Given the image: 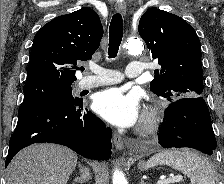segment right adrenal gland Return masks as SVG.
Instances as JSON below:
<instances>
[{"instance_id": "right-adrenal-gland-1", "label": "right adrenal gland", "mask_w": 224, "mask_h": 184, "mask_svg": "<svg viewBox=\"0 0 224 184\" xmlns=\"http://www.w3.org/2000/svg\"><path fill=\"white\" fill-rule=\"evenodd\" d=\"M78 167L80 170V176L76 177L74 181L80 184L86 183L91 178L90 171L87 167L83 166L81 163H78Z\"/></svg>"}]
</instances>
